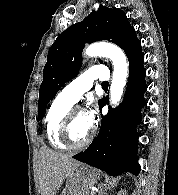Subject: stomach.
Here are the masks:
<instances>
[{"label":"stomach","mask_w":178,"mask_h":195,"mask_svg":"<svg viewBox=\"0 0 178 195\" xmlns=\"http://www.w3.org/2000/svg\"><path fill=\"white\" fill-rule=\"evenodd\" d=\"M98 177L97 170L81 165L66 180L60 195H87L90 193L89 188L96 183Z\"/></svg>","instance_id":"0dacf381"}]
</instances>
